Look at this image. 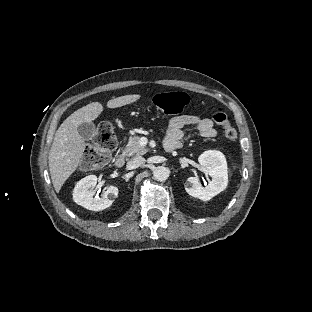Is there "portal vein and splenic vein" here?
<instances>
[{"instance_id":"portal-vein-and-splenic-vein-1","label":"portal vein and splenic vein","mask_w":312,"mask_h":312,"mask_svg":"<svg viewBox=\"0 0 312 312\" xmlns=\"http://www.w3.org/2000/svg\"><path fill=\"white\" fill-rule=\"evenodd\" d=\"M144 139H145L144 137L141 138V140H144ZM142 144H146V143H142Z\"/></svg>"}]
</instances>
